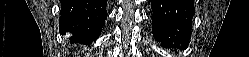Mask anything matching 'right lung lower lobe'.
I'll use <instances>...</instances> for the list:
<instances>
[{"mask_svg":"<svg viewBox=\"0 0 249 57\" xmlns=\"http://www.w3.org/2000/svg\"><path fill=\"white\" fill-rule=\"evenodd\" d=\"M107 0H61V31L74 33L73 41L91 44L107 18Z\"/></svg>","mask_w":249,"mask_h":57,"instance_id":"obj_1","label":"right lung lower lobe"}]
</instances>
